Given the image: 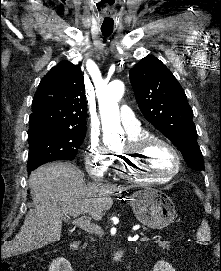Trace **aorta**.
Returning <instances> with one entry per match:
<instances>
[{"label":"aorta","mask_w":221,"mask_h":271,"mask_svg":"<svg viewBox=\"0 0 221 271\" xmlns=\"http://www.w3.org/2000/svg\"><path fill=\"white\" fill-rule=\"evenodd\" d=\"M123 82L116 80L109 83L99 95V110L103 128L106 132L122 133L118 102L124 94Z\"/></svg>","instance_id":"1"}]
</instances>
